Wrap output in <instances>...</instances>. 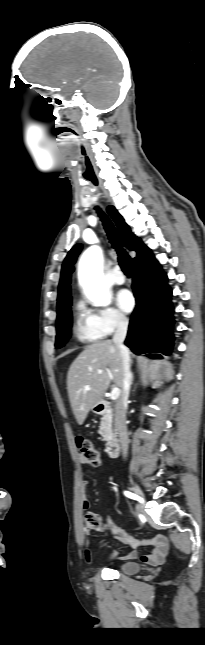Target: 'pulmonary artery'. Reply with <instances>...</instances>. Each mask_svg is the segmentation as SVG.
Returning a JSON list of instances; mask_svg holds the SVG:
<instances>
[{"instance_id": "1", "label": "pulmonary artery", "mask_w": 205, "mask_h": 645, "mask_svg": "<svg viewBox=\"0 0 205 645\" xmlns=\"http://www.w3.org/2000/svg\"><path fill=\"white\" fill-rule=\"evenodd\" d=\"M110 279L113 283L121 285L125 283V276L119 267H115L110 273Z\"/></svg>"}]
</instances>
